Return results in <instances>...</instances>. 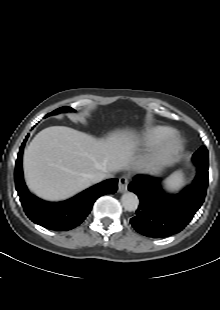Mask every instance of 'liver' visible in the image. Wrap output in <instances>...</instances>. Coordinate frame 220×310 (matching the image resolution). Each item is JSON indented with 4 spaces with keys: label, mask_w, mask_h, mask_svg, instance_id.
Instances as JSON below:
<instances>
[{
    "label": "liver",
    "mask_w": 220,
    "mask_h": 310,
    "mask_svg": "<svg viewBox=\"0 0 220 310\" xmlns=\"http://www.w3.org/2000/svg\"><path fill=\"white\" fill-rule=\"evenodd\" d=\"M135 145L134 135L127 131L96 139L65 126L45 128L25 151L26 183L43 199H67L92 185L90 174L127 169Z\"/></svg>",
    "instance_id": "liver-1"
}]
</instances>
